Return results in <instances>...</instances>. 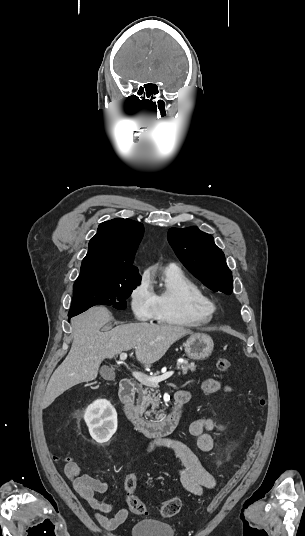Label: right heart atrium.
I'll list each match as a JSON object with an SVG mask.
<instances>
[{
  "label": "right heart atrium",
  "instance_id": "right-heart-atrium-1",
  "mask_svg": "<svg viewBox=\"0 0 305 536\" xmlns=\"http://www.w3.org/2000/svg\"><path fill=\"white\" fill-rule=\"evenodd\" d=\"M131 312L140 321L155 319L156 305L152 287L145 276L133 285L128 293Z\"/></svg>",
  "mask_w": 305,
  "mask_h": 536
}]
</instances>
